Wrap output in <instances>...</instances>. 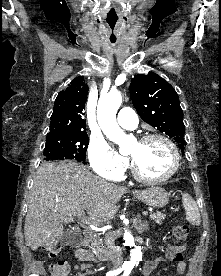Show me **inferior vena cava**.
Wrapping results in <instances>:
<instances>
[{
    "label": "inferior vena cava",
    "mask_w": 221,
    "mask_h": 276,
    "mask_svg": "<svg viewBox=\"0 0 221 276\" xmlns=\"http://www.w3.org/2000/svg\"><path fill=\"white\" fill-rule=\"evenodd\" d=\"M105 244L107 245L112 264L114 267H118L122 263V251L114 245V238L110 233L105 235Z\"/></svg>",
    "instance_id": "obj_1"
}]
</instances>
